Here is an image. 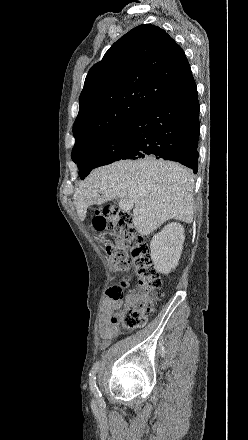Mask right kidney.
<instances>
[{"mask_svg": "<svg viewBox=\"0 0 248 440\" xmlns=\"http://www.w3.org/2000/svg\"><path fill=\"white\" fill-rule=\"evenodd\" d=\"M184 228L173 222L167 224L150 242L151 259L157 272L168 274L178 265L183 243Z\"/></svg>", "mask_w": 248, "mask_h": 440, "instance_id": "obj_1", "label": "right kidney"}]
</instances>
